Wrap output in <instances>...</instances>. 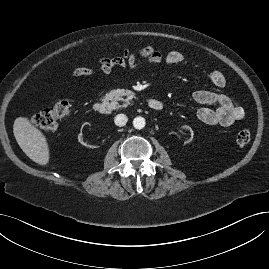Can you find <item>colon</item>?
<instances>
[{
  "label": "colon",
  "instance_id": "1",
  "mask_svg": "<svg viewBox=\"0 0 269 269\" xmlns=\"http://www.w3.org/2000/svg\"><path fill=\"white\" fill-rule=\"evenodd\" d=\"M71 113V105L68 100H60L53 106L39 112L33 118V125L42 132L49 133L56 130L60 120L68 117ZM251 139V131L248 128L241 129L236 136L240 145L247 144Z\"/></svg>",
  "mask_w": 269,
  "mask_h": 269
}]
</instances>
